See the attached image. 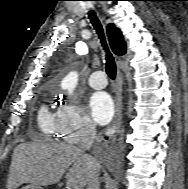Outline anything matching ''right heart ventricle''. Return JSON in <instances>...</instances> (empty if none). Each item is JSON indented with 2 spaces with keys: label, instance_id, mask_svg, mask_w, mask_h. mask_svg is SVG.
Wrapping results in <instances>:
<instances>
[{
  "label": "right heart ventricle",
  "instance_id": "right-heart-ventricle-1",
  "mask_svg": "<svg viewBox=\"0 0 188 189\" xmlns=\"http://www.w3.org/2000/svg\"><path fill=\"white\" fill-rule=\"evenodd\" d=\"M38 126L47 139L62 136L58 127L57 115L51 112L47 104H43L38 113Z\"/></svg>",
  "mask_w": 188,
  "mask_h": 189
}]
</instances>
